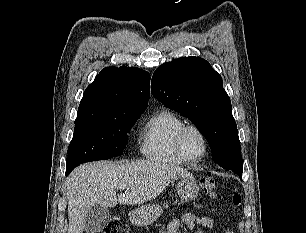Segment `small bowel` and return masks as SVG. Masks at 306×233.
Masks as SVG:
<instances>
[{
	"instance_id": "c3829d8e",
	"label": "small bowel",
	"mask_w": 306,
	"mask_h": 233,
	"mask_svg": "<svg viewBox=\"0 0 306 233\" xmlns=\"http://www.w3.org/2000/svg\"><path fill=\"white\" fill-rule=\"evenodd\" d=\"M213 219L209 216H196L192 213L183 214L181 220H172L161 233H186L195 229V233H203V229H212ZM225 233H233L230 230Z\"/></svg>"
}]
</instances>
